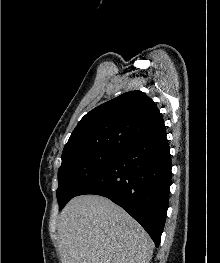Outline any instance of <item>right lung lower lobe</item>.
Returning a JSON list of instances; mask_svg holds the SVG:
<instances>
[{
	"mask_svg": "<svg viewBox=\"0 0 220 263\" xmlns=\"http://www.w3.org/2000/svg\"><path fill=\"white\" fill-rule=\"evenodd\" d=\"M169 150L166 132L134 142L76 196L109 198L136 219L158 247L168 209L172 168Z\"/></svg>",
	"mask_w": 220,
	"mask_h": 263,
	"instance_id": "1",
	"label": "right lung lower lobe"
}]
</instances>
